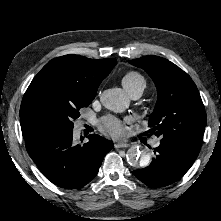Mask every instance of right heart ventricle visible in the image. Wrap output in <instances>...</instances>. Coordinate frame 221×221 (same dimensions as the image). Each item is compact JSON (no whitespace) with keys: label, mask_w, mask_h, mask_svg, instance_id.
I'll return each mask as SVG.
<instances>
[{"label":"right heart ventricle","mask_w":221,"mask_h":221,"mask_svg":"<svg viewBox=\"0 0 221 221\" xmlns=\"http://www.w3.org/2000/svg\"><path fill=\"white\" fill-rule=\"evenodd\" d=\"M122 85L127 92L138 87L144 90L146 86V81L141 74L131 71L124 75L122 79Z\"/></svg>","instance_id":"right-heart-ventricle-1"}]
</instances>
